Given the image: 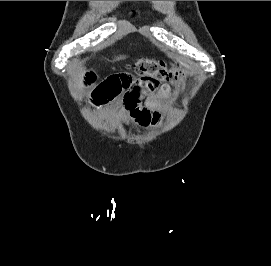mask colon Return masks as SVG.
Segmentation results:
<instances>
[{"instance_id": "colon-1", "label": "colon", "mask_w": 271, "mask_h": 266, "mask_svg": "<svg viewBox=\"0 0 271 266\" xmlns=\"http://www.w3.org/2000/svg\"><path fill=\"white\" fill-rule=\"evenodd\" d=\"M134 70L141 75L157 77L161 80L175 81L184 74L177 67H169L165 62L155 59H140L133 65Z\"/></svg>"}]
</instances>
